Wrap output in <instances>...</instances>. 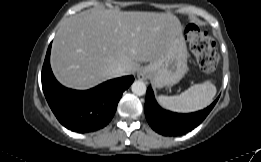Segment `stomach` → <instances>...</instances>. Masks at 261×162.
Wrapping results in <instances>:
<instances>
[{
    "label": "stomach",
    "mask_w": 261,
    "mask_h": 162,
    "mask_svg": "<svg viewBox=\"0 0 261 162\" xmlns=\"http://www.w3.org/2000/svg\"><path fill=\"white\" fill-rule=\"evenodd\" d=\"M187 46L181 26L174 27L165 53L142 68L141 72L157 88L178 83L188 70Z\"/></svg>",
    "instance_id": "obj_1"
}]
</instances>
